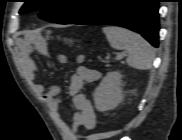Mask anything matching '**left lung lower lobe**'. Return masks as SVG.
I'll return each instance as SVG.
<instances>
[{"label":"left lung lower lobe","instance_id":"0a47b994","mask_svg":"<svg viewBox=\"0 0 182 140\" xmlns=\"http://www.w3.org/2000/svg\"><path fill=\"white\" fill-rule=\"evenodd\" d=\"M160 0H101L71 24L116 25L140 33L158 47Z\"/></svg>","mask_w":182,"mask_h":140}]
</instances>
